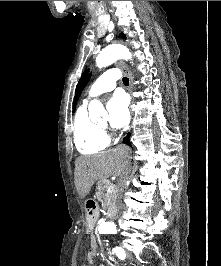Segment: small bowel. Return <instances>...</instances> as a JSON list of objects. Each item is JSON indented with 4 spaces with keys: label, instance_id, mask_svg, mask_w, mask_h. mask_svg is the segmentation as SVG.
Returning a JSON list of instances; mask_svg holds the SVG:
<instances>
[{
    "label": "small bowel",
    "instance_id": "1",
    "mask_svg": "<svg viewBox=\"0 0 221 266\" xmlns=\"http://www.w3.org/2000/svg\"><path fill=\"white\" fill-rule=\"evenodd\" d=\"M96 254H97V243L96 240L93 238L91 240V249L89 251V266H93V257L96 256Z\"/></svg>",
    "mask_w": 221,
    "mask_h": 266
}]
</instances>
